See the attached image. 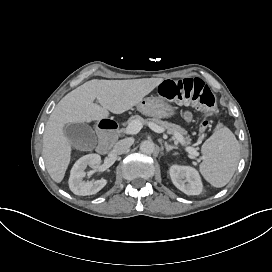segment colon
Segmentation results:
<instances>
[{"instance_id": "colon-1", "label": "colon", "mask_w": 272, "mask_h": 272, "mask_svg": "<svg viewBox=\"0 0 272 272\" xmlns=\"http://www.w3.org/2000/svg\"><path fill=\"white\" fill-rule=\"evenodd\" d=\"M160 95L168 100L193 104L203 107L205 118L200 130L204 132L210 124L208 118L217 112V99L211 88L201 78L182 79L177 81L166 80L160 85Z\"/></svg>"}]
</instances>
